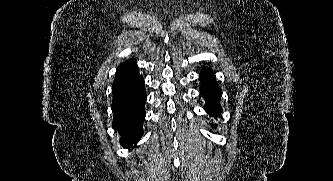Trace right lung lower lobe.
<instances>
[{
	"label": "right lung lower lobe",
	"instance_id": "right-lung-lower-lobe-1",
	"mask_svg": "<svg viewBox=\"0 0 333 181\" xmlns=\"http://www.w3.org/2000/svg\"><path fill=\"white\" fill-rule=\"evenodd\" d=\"M113 128L121 134V145L129 148L136 144L143 134L145 119L146 90L142 76L113 87Z\"/></svg>",
	"mask_w": 333,
	"mask_h": 181
}]
</instances>
